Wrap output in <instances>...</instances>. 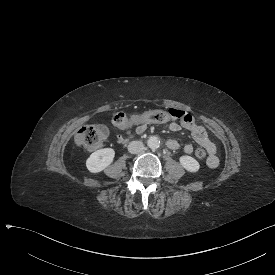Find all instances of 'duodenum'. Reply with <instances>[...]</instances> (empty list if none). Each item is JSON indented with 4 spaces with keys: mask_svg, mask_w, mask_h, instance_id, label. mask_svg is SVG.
<instances>
[{
    "mask_svg": "<svg viewBox=\"0 0 275 275\" xmlns=\"http://www.w3.org/2000/svg\"><path fill=\"white\" fill-rule=\"evenodd\" d=\"M133 137L132 136H130L128 139H132Z\"/></svg>",
    "mask_w": 275,
    "mask_h": 275,
    "instance_id": "410a0bca",
    "label": "duodenum"
}]
</instances>
